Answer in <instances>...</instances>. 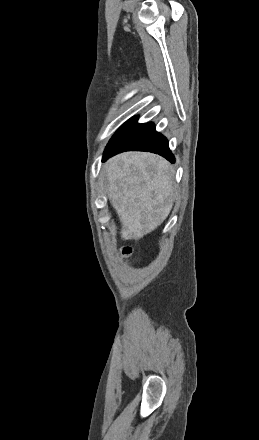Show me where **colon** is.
Wrapping results in <instances>:
<instances>
[{
    "instance_id": "1",
    "label": "colon",
    "mask_w": 259,
    "mask_h": 440,
    "mask_svg": "<svg viewBox=\"0 0 259 440\" xmlns=\"http://www.w3.org/2000/svg\"><path fill=\"white\" fill-rule=\"evenodd\" d=\"M122 253L125 257H129L132 254V248L131 247H124L122 249Z\"/></svg>"
}]
</instances>
